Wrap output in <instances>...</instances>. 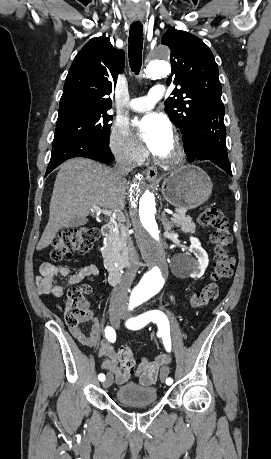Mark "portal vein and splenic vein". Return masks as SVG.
<instances>
[{
    "label": "portal vein and splenic vein",
    "mask_w": 271,
    "mask_h": 459,
    "mask_svg": "<svg viewBox=\"0 0 271 459\" xmlns=\"http://www.w3.org/2000/svg\"><path fill=\"white\" fill-rule=\"evenodd\" d=\"M91 212H96V214H105V216H111V210H101V208H91ZM171 217H179L177 212H174L170 215Z\"/></svg>",
    "instance_id": "obj_1"
}]
</instances>
